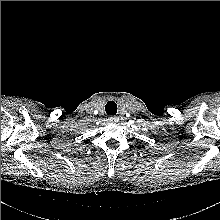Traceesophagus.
Here are the masks:
<instances>
[{
  "mask_svg": "<svg viewBox=\"0 0 220 220\" xmlns=\"http://www.w3.org/2000/svg\"><path fill=\"white\" fill-rule=\"evenodd\" d=\"M118 120H119V118L116 117V116H110V117L108 118V121H109L110 123L118 122Z\"/></svg>",
  "mask_w": 220,
  "mask_h": 220,
  "instance_id": "esophagus-1",
  "label": "esophagus"
}]
</instances>
